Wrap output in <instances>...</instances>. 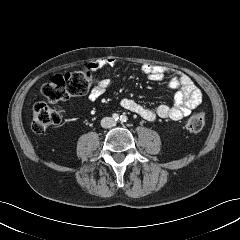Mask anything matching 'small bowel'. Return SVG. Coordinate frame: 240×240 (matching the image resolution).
I'll return each mask as SVG.
<instances>
[{
	"label": "small bowel",
	"mask_w": 240,
	"mask_h": 240,
	"mask_svg": "<svg viewBox=\"0 0 240 240\" xmlns=\"http://www.w3.org/2000/svg\"><path fill=\"white\" fill-rule=\"evenodd\" d=\"M116 65L114 57H106L92 61L88 64V69L97 71L103 68H112ZM141 72L152 81H163L169 78V85L177 92L174 97V104H160L156 108H149L137 102L136 100L125 97L121 99L120 104L126 110L135 113L147 121H154L158 118L180 120L188 116L202 100L200 89L195 86L193 81L184 73L175 72L165 67L143 64ZM111 80L103 78L91 89L88 98L91 101L98 100L110 87Z\"/></svg>",
	"instance_id": "1"
}]
</instances>
